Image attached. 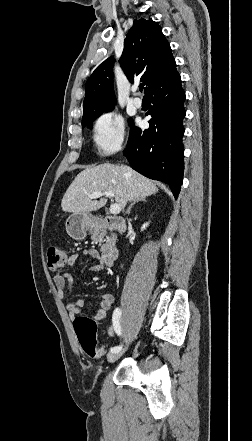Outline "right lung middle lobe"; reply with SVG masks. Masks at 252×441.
I'll return each mask as SVG.
<instances>
[{"mask_svg":"<svg viewBox=\"0 0 252 441\" xmlns=\"http://www.w3.org/2000/svg\"><path fill=\"white\" fill-rule=\"evenodd\" d=\"M101 114H102V113H101ZM101 114H99V115H97L96 117L92 118L91 120H89V121L83 123V124H82V128H84V127H89V128H91V127H92V123H93V121H94L97 117H99ZM129 122H130V126H131V125H132V120L130 119Z\"/></svg>","mask_w":252,"mask_h":441,"instance_id":"dd1d6c3e","label":"right lung middle lobe"}]
</instances>
